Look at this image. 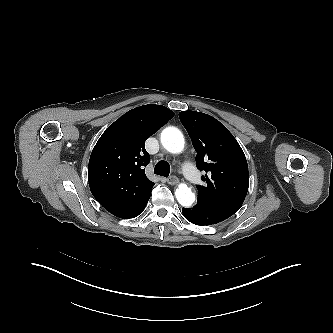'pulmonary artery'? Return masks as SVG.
<instances>
[{
    "label": "pulmonary artery",
    "instance_id": "obj_1",
    "mask_svg": "<svg viewBox=\"0 0 333 333\" xmlns=\"http://www.w3.org/2000/svg\"><path fill=\"white\" fill-rule=\"evenodd\" d=\"M183 170H184V173L187 177V179L193 183V184H197L200 182V177H199V174L198 172L196 171V169L194 168L193 165L189 164V163H186L184 164L183 166Z\"/></svg>",
    "mask_w": 333,
    "mask_h": 333
}]
</instances>
